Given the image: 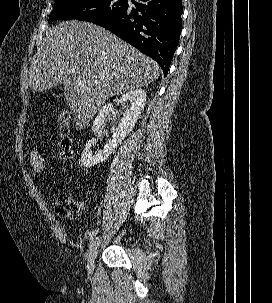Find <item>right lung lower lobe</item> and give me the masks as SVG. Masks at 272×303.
Returning <instances> with one entry per match:
<instances>
[{
	"instance_id": "obj_1",
	"label": "right lung lower lobe",
	"mask_w": 272,
	"mask_h": 303,
	"mask_svg": "<svg viewBox=\"0 0 272 303\" xmlns=\"http://www.w3.org/2000/svg\"><path fill=\"white\" fill-rule=\"evenodd\" d=\"M136 9L93 23L102 26L158 62L166 75L182 30V0H136Z\"/></svg>"
}]
</instances>
